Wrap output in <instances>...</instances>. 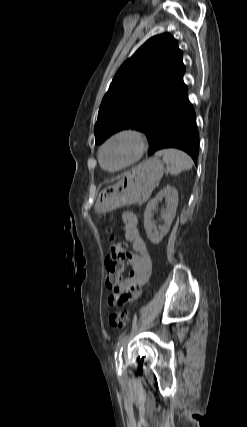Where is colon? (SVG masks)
I'll use <instances>...</instances> for the list:
<instances>
[{
    "label": "colon",
    "mask_w": 247,
    "mask_h": 427,
    "mask_svg": "<svg viewBox=\"0 0 247 427\" xmlns=\"http://www.w3.org/2000/svg\"><path fill=\"white\" fill-rule=\"evenodd\" d=\"M111 242V253L106 258V285L115 288L120 283L125 264L127 261L126 247L118 240L111 228L107 230ZM131 322L130 313L126 310L113 312L109 317V323L115 328L127 327Z\"/></svg>",
    "instance_id": "obj_1"
}]
</instances>
